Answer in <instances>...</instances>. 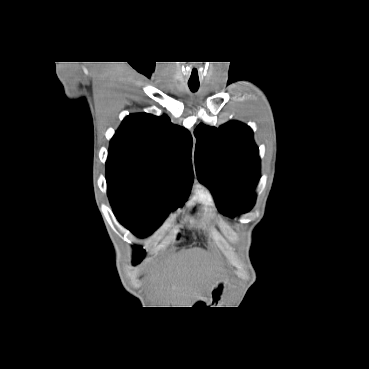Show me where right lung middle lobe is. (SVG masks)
Listing matches in <instances>:
<instances>
[{"label": "right lung middle lobe", "mask_w": 369, "mask_h": 369, "mask_svg": "<svg viewBox=\"0 0 369 369\" xmlns=\"http://www.w3.org/2000/svg\"><path fill=\"white\" fill-rule=\"evenodd\" d=\"M108 197L118 221L134 235L143 238L154 232L175 208L169 197L137 187L132 181L117 176H106ZM144 249L135 248L134 262H140Z\"/></svg>", "instance_id": "dd1d6c3e"}]
</instances>
